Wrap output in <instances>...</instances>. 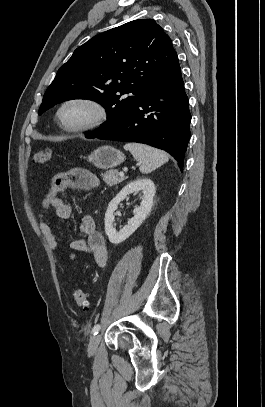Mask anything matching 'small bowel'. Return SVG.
<instances>
[{
  "label": "small bowel",
  "instance_id": "c3829d8e",
  "mask_svg": "<svg viewBox=\"0 0 265 407\" xmlns=\"http://www.w3.org/2000/svg\"><path fill=\"white\" fill-rule=\"evenodd\" d=\"M99 184V179L95 174L80 168L59 173L53 177L48 191L40 203L37 214L40 230L51 249H56L57 241L53 229L46 221L47 211L53 209L59 218H70L72 214L71 207L64 201L62 193L70 187L93 190ZM79 229L85 236V239L68 241V246L72 250L68 257L69 260L74 261L79 252H84L93 257L97 266L105 267L108 260L106 241L103 234L97 228L95 219L90 215L82 217L79 222Z\"/></svg>",
  "mask_w": 265,
  "mask_h": 407
}]
</instances>
